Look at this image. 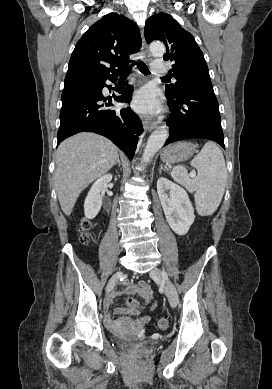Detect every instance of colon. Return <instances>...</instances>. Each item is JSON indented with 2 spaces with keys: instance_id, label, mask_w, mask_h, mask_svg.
Here are the masks:
<instances>
[{
  "instance_id": "colon-1",
  "label": "colon",
  "mask_w": 272,
  "mask_h": 389,
  "mask_svg": "<svg viewBox=\"0 0 272 389\" xmlns=\"http://www.w3.org/2000/svg\"><path fill=\"white\" fill-rule=\"evenodd\" d=\"M91 228V223L88 220H83L81 224V234L80 240L83 243H86L89 240V230ZM128 311L132 314H137L139 312L140 304L134 298H129L127 300ZM157 326L161 330H165L168 327V320L166 318H160L157 321Z\"/></svg>"
}]
</instances>
